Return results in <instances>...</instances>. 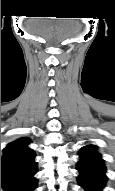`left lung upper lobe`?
Returning a JSON list of instances; mask_svg holds the SVG:
<instances>
[{
    "mask_svg": "<svg viewBox=\"0 0 115 191\" xmlns=\"http://www.w3.org/2000/svg\"><path fill=\"white\" fill-rule=\"evenodd\" d=\"M80 158L81 159H94V160H98V161H104L102 159L101 154H99L96 151V146L89 144L86 145L82 148V150L80 151Z\"/></svg>",
    "mask_w": 115,
    "mask_h": 191,
    "instance_id": "5c2ea615",
    "label": "left lung upper lobe"
}]
</instances>
